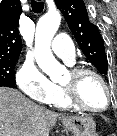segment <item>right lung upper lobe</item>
<instances>
[{
  "label": "right lung upper lobe",
  "instance_id": "cb5924a9",
  "mask_svg": "<svg viewBox=\"0 0 117 136\" xmlns=\"http://www.w3.org/2000/svg\"><path fill=\"white\" fill-rule=\"evenodd\" d=\"M22 8L19 0L0 3V59H18L22 41L18 32Z\"/></svg>",
  "mask_w": 117,
  "mask_h": 136
}]
</instances>
